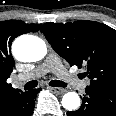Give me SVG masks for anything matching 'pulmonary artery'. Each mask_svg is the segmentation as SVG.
Returning a JSON list of instances; mask_svg holds the SVG:
<instances>
[{"instance_id": "e3ab8cb5", "label": "pulmonary artery", "mask_w": 116, "mask_h": 116, "mask_svg": "<svg viewBox=\"0 0 116 116\" xmlns=\"http://www.w3.org/2000/svg\"><path fill=\"white\" fill-rule=\"evenodd\" d=\"M53 72L56 74L64 82L75 86L79 90L84 91L88 86L89 82L87 80H80L76 77V75L70 71H68L61 61L53 54L49 55L46 60L38 66L31 74L25 75L20 74L16 77L17 81H23L28 77H38L45 75L48 72Z\"/></svg>"}]
</instances>
